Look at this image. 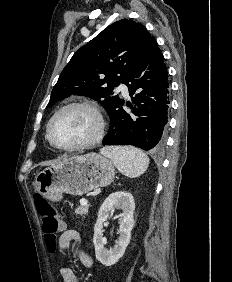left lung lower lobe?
I'll return each instance as SVG.
<instances>
[{"mask_svg": "<svg viewBox=\"0 0 232 282\" xmlns=\"http://www.w3.org/2000/svg\"><path fill=\"white\" fill-rule=\"evenodd\" d=\"M123 83L129 95H135L133 105H128L132 112L123 110V100L114 106L108 113L110 129L102 144L160 150L166 141L170 91L164 57L155 39Z\"/></svg>", "mask_w": 232, "mask_h": 282, "instance_id": "0a47b994", "label": "left lung lower lobe"}]
</instances>
